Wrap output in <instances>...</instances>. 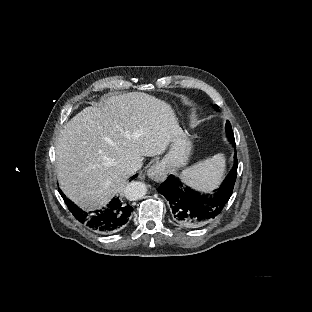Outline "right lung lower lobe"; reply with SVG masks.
I'll list each match as a JSON object with an SVG mask.
<instances>
[{
	"instance_id": "98d812e1",
	"label": "right lung lower lobe",
	"mask_w": 312,
	"mask_h": 312,
	"mask_svg": "<svg viewBox=\"0 0 312 312\" xmlns=\"http://www.w3.org/2000/svg\"><path fill=\"white\" fill-rule=\"evenodd\" d=\"M60 194L73 216L84 226L100 234H111L121 230L130 220L133 211L128 201L121 197H114L107 207L85 212L68 200L61 191Z\"/></svg>"
}]
</instances>
